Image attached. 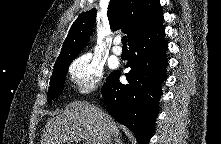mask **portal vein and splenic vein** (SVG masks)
<instances>
[{"label": "portal vein and splenic vein", "mask_w": 221, "mask_h": 144, "mask_svg": "<svg viewBox=\"0 0 221 144\" xmlns=\"http://www.w3.org/2000/svg\"><path fill=\"white\" fill-rule=\"evenodd\" d=\"M72 139H74L75 141H80V138H78V137H73Z\"/></svg>", "instance_id": "obj_1"}]
</instances>
